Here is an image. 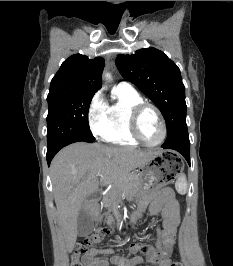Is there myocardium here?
I'll use <instances>...</instances> for the list:
<instances>
[{
  "instance_id": "myocardium-1",
  "label": "myocardium",
  "mask_w": 233,
  "mask_h": 266,
  "mask_svg": "<svg viewBox=\"0 0 233 266\" xmlns=\"http://www.w3.org/2000/svg\"><path fill=\"white\" fill-rule=\"evenodd\" d=\"M146 109H152L157 114V116L160 120V123H161L162 135H161V138L159 139V141H157L156 143L146 142L142 138L140 131H139L140 117ZM129 129H130V133H131V136L133 137V139L136 142H138L139 144H142L146 147L160 146L161 144H163V142L165 141L166 136H167V125H166V121L164 119L162 112L160 111V109L156 105L149 103V102H145V101L140 102V103L131 107L130 113H129Z\"/></svg>"
}]
</instances>
